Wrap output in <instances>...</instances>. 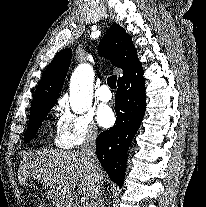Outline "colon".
<instances>
[{"label":"colon","instance_id":"obj_1","mask_svg":"<svg viewBox=\"0 0 206 207\" xmlns=\"http://www.w3.org/2000/svg\"><path fill=\"white\" fill-rule=\"evenodd\" d=\"M37 207H44V206H42V205H39V206H37Z\"/></svg>","mask_w":206,"mask_h":207}]
</instances>
